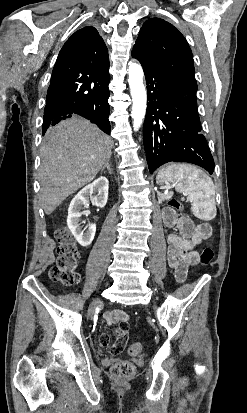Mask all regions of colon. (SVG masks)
I'll return each mask as SVG.
<instances>
[{
	"instance_id": "1",
	"label": "colon",
	"mask_w": 247,
	"mask_h": 413,
	"mask_svg": "<svg viewBox=\"0 0 247 413\" xmlns=\"http://www.w3.org/2000/svg\"><path fill=\"white\" fill-rule=\"evenodd\" d=\"M168 204L174 206V210L181 209V203L175 198L167 201ZM55 239L58 242L59 258L50 270V279L63 286H71L75 284L79 275L75 272V267L78 261V249L76 247L73 235L63 227H58L55 232ZM214 259V252L210 248L202 249L199 255V261L202 268H208ZM129 353L139 355L141 352L140 343H131L129 345ZM115 381H130L131 376L135 374V367L129 362H121L115 365L112 369Z\"/></svg>"
}]
</instances>
